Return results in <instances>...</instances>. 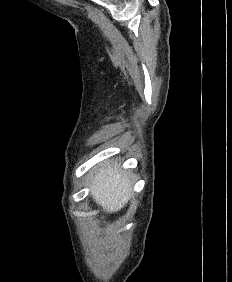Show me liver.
Segmentation results:
<instances>
[{
	"label": "liver",
	"instance_id": "6515ba94",
	"mask_svg": "<svg viewBox=\"0 0 232 282\" xmlns=\"http://www.w3.org/2000/svg\"><path fill=\"white\" fill-rule=\"evenodd\" d=\"M131 187L125 172L117 167L100 168L92 179L91 194L106 212L120 211L131 197Z\"/></svg>",
	"mask_w": 232,
	"mask_h": 282
}]
</instances>
